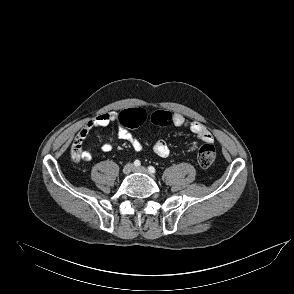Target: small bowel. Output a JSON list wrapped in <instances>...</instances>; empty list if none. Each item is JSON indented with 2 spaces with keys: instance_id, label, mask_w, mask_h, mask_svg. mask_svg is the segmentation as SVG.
<instances>
[{
  "instance_id": "c3829d8e",
  "label": "small bowel",
  "mask_w": 294,
  "mask_h": 294,
  "mask_svg": "<svg viewBox=\"0 0 294 294\" xmlns=\"http://www.w3.org/2000/svg\"><path fill=\"white\" fill-rule=\"evenodd\" d=\"M173 121L172 123L176 127H187L189 128L196 136L198 137L199 141L203 143L210 144L213 142V136L208 128L198 121H188L186 118L180 113H173ZM119 121V114L115 111L107 112L98 115L97 117L90 120L80 132L81 137L84 139L89 131L96 127H107L113 123H118ZM117 136L119 139L129 142L132 147L140 151L143 149L142 142L135 137L131 132H129L121 123L118 127ZM198 148V143L193 142L185 152L190 153L195 151ZM101 149L104 152H109L112 149V145L109 141L103 139L101 141ZM154 152L160 157H167L170 154V148L166 141L159 139L153 144ZM82 159L84 161H91L92 154L89 150L82 153Z\"/></svg>"
}]
</instances>
